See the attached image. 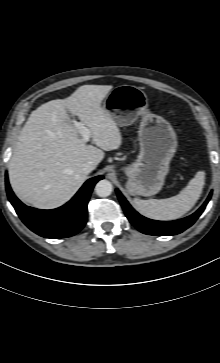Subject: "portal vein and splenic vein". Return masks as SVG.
Wrapping results in <instances>:
<instances>
[{
    "instance_id": "portal-vein-and-splenic-vein-1",
    "label": "portal vein and splenic vein",
    "mask_w": 220,
    "mask_h": 363,
    "mask_svg": "<svg viewBox=\"0 0 220 363\" xmlns=\"http://www.w3.org/2000/svg\"><path fill=\"white\" fill-rule=\"evenodd\" d=\"M74 125L80 131L83 142H88L91 137L90 130L82 122L74 121Z\"/></svg>"
}]
</instances>
